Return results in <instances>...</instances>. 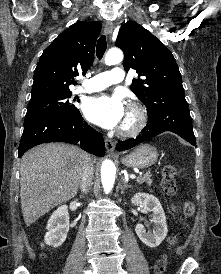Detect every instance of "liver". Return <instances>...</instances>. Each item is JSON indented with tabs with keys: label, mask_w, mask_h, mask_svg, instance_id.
<instances>
[{
	"label": "liver",
	"mask_w": 221,
	"mask_h": 274,
	"mask_svg": "<svg viewBox=\"0 0 221 274\" xmlns=\"http://www.w3.org/2000/svg\"><path fill=\"white\" fill-rule=\"evenodd\" d=\"M89 158L80 148L62 143L42 144L23 155L20 199L27 226L77 194Z\"/></svg>",
	"instance_id": "liver-1"
}]
</instances>
